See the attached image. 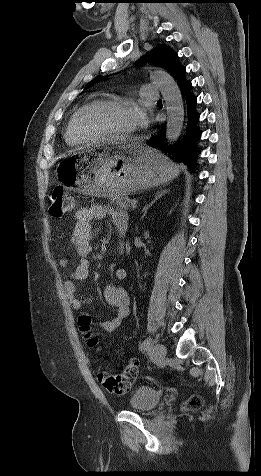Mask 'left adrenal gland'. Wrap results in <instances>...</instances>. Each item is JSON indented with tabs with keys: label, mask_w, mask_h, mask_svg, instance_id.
<instances>
[{
	"label": "left adrenal gland",
	"mask_w": 261,
	"mask_h": 476,
	"mask_svg": "<svg viewBox=\"0 0 261 476\" xmlns=\"http://www.w3.org/2000/svg\"><path fill=\"white\" fill-rule=\"evenodd\" d=\"M168 193V190H161V191H157L156 194H155V198L147 205L144 206L143 208V215L141 218H143L146 214H147V211L148 209L158 200L160 199L163 195L167 194Z\"/></svg>",
	"instance_id": "1"
}]
</instances>
